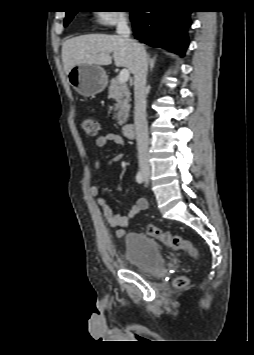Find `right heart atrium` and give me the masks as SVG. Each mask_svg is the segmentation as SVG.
<instances>
[{
	"label": "right heart atrium",
	"mask_w": 254,
	"mask_h": 355,
	"mask_svg": "<svg viewBox=\"0 0 254 355\" xmlns=\"http://www.w3.org/2000/svg\"><path fill=\"white\" fill-rule=\"evenodd\" d=\"M128 20V14L122 11L103 10L98 13V21L107 26L124 23Z\"/></svg>",
	"instance_id": "obj_1"
}]
</instances>
